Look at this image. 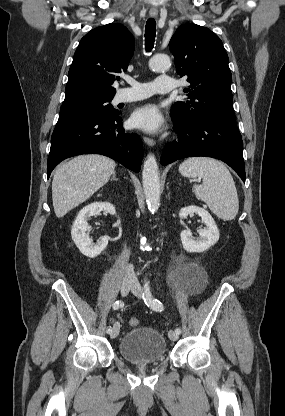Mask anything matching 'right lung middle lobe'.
Wrapping results in <instances>:
<instances>
[{"instance_id":"obj_1","label":"right lung middle lobe","mask_w":285,"mask_h":416,"mask_svg":"<svg viewBox=\"0 0 285 416\" xmlns=\"http://www.w3.org/2000/svg\"><path fill=\"white\" fill-rule=\"evenodd\" d=\"M113 98L74 99L64 101L60 108L59 119L77 116H115L119 111L110 104Z\"/></svg>"}]
</instances>
